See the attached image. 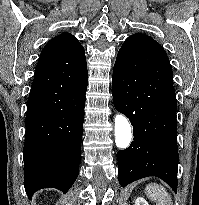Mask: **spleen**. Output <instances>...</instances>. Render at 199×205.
Here are the masks:
<instances>
[{
  "mask_svg": "<svg viewBox=\"0 0 199 205\" xmlns=\"http://www.w3.org/2000/svg\"><path fill=\"white\" fill-rule=\"evenodd\" d=\"M146 195L157 205H172L171 196L167 190L158 184H148L145 189Z\"/></svg>",
  "mask_w": 199,
  "mask_h": 205,
  "instance_id": "obj_1",
  "label": "spleen"
}]
</instances>
